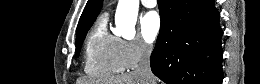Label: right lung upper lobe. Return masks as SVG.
<instances>
[{"instance_id": "right-lung-upper-lobe-1", "label": "right lung upper lobe", "mask_w": 260, "mask_h": 84, "mask_svg": "<svg viewBox=\"0 0 260 84\" xmlns=\"http://www.w3.org/2000/svg\"><path fill=\"white\" fill-rule=\"evenodd\" d=\"M101 7L102 0H88L77 26V35L93 24Z\"/></svg>"}]
</instances>
